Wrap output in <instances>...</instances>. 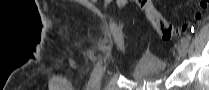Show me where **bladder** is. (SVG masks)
<instances>
[{
    "mask_svg": "<svg viewBox=\"0 0 209 90\" xmlns=\"http://www.w3.org/2000/svg\"><path fill=\"white\" fill-rule=\"evenodd\" d=\"M166 63L154 56L146 55L138 60L132 70V78L140 81H153L163 78Z\"/></svg>",
    "mask_w": 209,
    "mask_h": 90,
    "instance_id": "31cf9c89",
    "label": "bladder"
}]
</instances>
